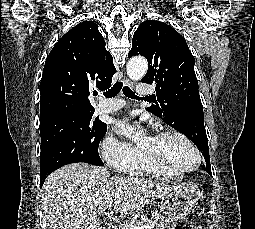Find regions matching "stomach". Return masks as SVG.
<instances>
[{"label": "stomach", "mask_w": 255, "mask_h": 229, "mask_svg": "<svg viewBox=\"0 0 255 229\" xmlns=\"http://www.w3.org/2000/svg\"><path fill=\"white\" fill-rule=\"evenodd\" d=\"M201 197L199 187L193 182H182L171 187L164 202L155 212V220L164 228L184 219Z\"/></svg>", "instance_id": "stomach-1"}]
</instances>
